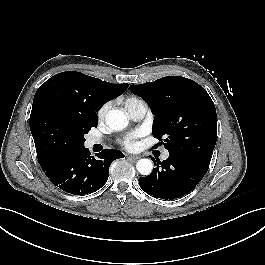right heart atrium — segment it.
Returning <instances> with one entry per match:
<instances>
[{
    "mask_svg": "<svg viewBox=\"0 0 265 265\" xmlns=\"http://www.w3.org/2000/svg\"><path fill=\"white\" fill-rule=\"evenodd\" d=\"M110 108H111L110 102L103 104L97 111L98 120H104Z\"/></svg>",
    "mask_w": 265,
    "mask_h": 265,
    "instance_id": "d8ad5b80",
    "label": "right heart atrium"
}]
</instances>
